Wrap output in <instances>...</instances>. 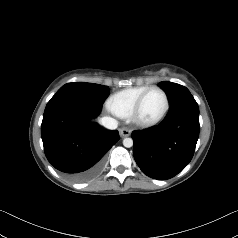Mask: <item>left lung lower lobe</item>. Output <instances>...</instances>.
I'll list each match as a JSON object with an SVG mask.
<instances>
[{
    "mask_svg": "<svg viewBox=\"0 0 238 238\" xmlns=\"http://www.w3.org/2000/svg\"><path fill=\"white\" fill-rule=\"evenodd\" d=\"M199 137V108L191 94L171 104L164 120L144 131H134L133 155L147 176L166 180L191 161Z\"/></svg>",
    "mask_w": 238,
    "mask_h": 238,
    "instance_id": "left-lung-lower-lobe-1",
    "label": "left lung lower lobe"
}]
</instances>
